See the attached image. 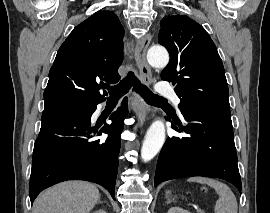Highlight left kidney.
<instances>
[{"mask_svg": "<svg viewBox=\"0 0 270 213\" xmlns=\"http://www.w3.org/2000/svg\"><path fill=\"white\" fill-rule=\"evenodd\" d=\"M168 213H190V212L180 207H172L168 210Z\"/></svg>", "mask_w": 270, "mask_h": 213, "instance_id": "obj_1", "label": "left kidney"}]
</instances>
